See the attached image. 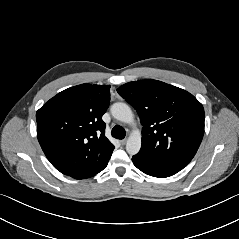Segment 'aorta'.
Wrapping results in <instances>:
<instances>
[{
    "instance_id": "762f6f07",
    "label": "aorta",
    "mask_w": 239,
    "mask_h": 239,
    "mask_svg": "<svg viewBox=\"0 0 239 239\" xmlns=\"http://www.w3.org/2000/svg\"><path fill=\"white\" fill-rule=\"evenodd\" d=\"M111 114L112 116L124 123L127 124H134V115L132 113L131 108L123 103V102H117L114 103L111 106ZM141 148V133L138 129L134 130L126 143V151L128 152V154L130 155H135L139 152Z\"/></svg>"
}]
</instances>
